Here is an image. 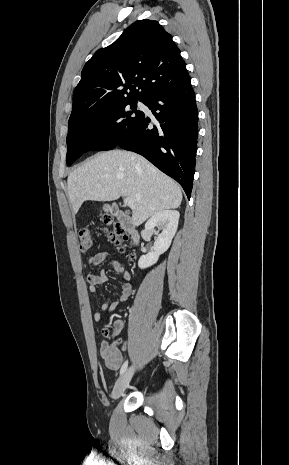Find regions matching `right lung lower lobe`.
I'll list each match as a JSON object with an SVG mask.
<instances>
[{"label":"right lung lower lobe","mask_w":289,"mask_h":465,"mask_svg":"<svg viewBox=\"0 0 289 465\" xmlns=\"http://www.w3.org/2000/svg\"><path fill=\"white\" fill-rule=\"evenodd\" d=\"M190 82L144 100L155 119L143 114L134 129L116 145L142 155L175 179L188 199L195 172L198 134L197 107Z\"/></svg>","instance_id":"1"}]
</instances>
